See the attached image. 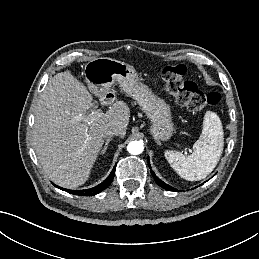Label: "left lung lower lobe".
<instances>
[{
  "label": "left lung lower lobe",
  "instance_id": "obj_1",
  "mask_svg": "<svg viewBox=\"0 0 259 259\" xmlns=\"http://www.w3.org/2000/svg\"><path fill=\"white\" fill-rule=\"evenodd\" d=\"M148 166H149V168H151V167H150L149 159H148ZM151 174L153 175V177H154L156 183H157L158 185H160L162 188H164V189H166V190H170V191H177L175 188L169 186L168 184L164 183L162 180H160L159 178H157L156 175H155V173H154L153 171H151Z\"/></svg>",
  "mask_w": 259,
  "mask_h": 259
}]
</instances>
